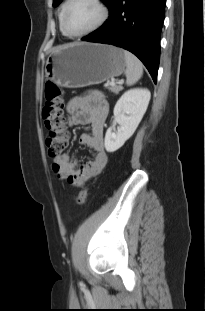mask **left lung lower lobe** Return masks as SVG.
I'll return each mask as SVG.
<instances>
[{"mask_svg":"<svg viewBox=\"0 0 205 311\" xmlns=\"http://www.w3.org/2000/svg\"><path fill=\"white\" fill-rule=\"evenodd\" d=\"M166 0H114L109 19L83 41L112 44L135 54L156 83Z\"/></svg>","mask_w":205,"mask_h":311,"instance_id":"obj_1","label":"left lung lower lobe"}]
</instances>
